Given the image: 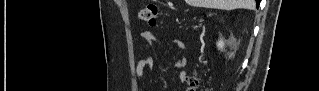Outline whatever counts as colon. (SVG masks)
I'll return each instance as SVG.
<instances>
[{
	"instance_id": "obj_1",
	"label": "colon",
	"mask_w": 319,
	"mask_h": 91,
	"mask_svg": "<svg viewBox=\"0 0 319 91\" xmlns=\"http://www.w3.org/2000/svg\"><path fill=\"white\" fill-rule=\"evenodd\" d=\"M158 13L157 5L154 3H148L143 6L138 11V18L140 21L149 24L150 26L156 25V17ZM188 84L191 90H198L199 89V81L195 77H191L188 80Z\"/></svg>"
}]
</instances>
